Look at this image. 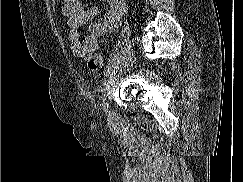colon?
I'll list each match as a JSON object with an SVG mask.
<instances>
[{
	"mask_svg": "<svg viewBox=\"0 0 243 182\" xmlns=\"http://www.w3.org/2000/svg\"><path fill=\"white\" fill-rule=\"evenodd\" d=\"M103 66V57L100 53H96L88 60V67L92 71H99Z\"/></svg>",
	"mask_w": 243,
	"mask_h": 182,
	"instance_id": "obj_1",
	"label": "colon"
}]
</instances>
